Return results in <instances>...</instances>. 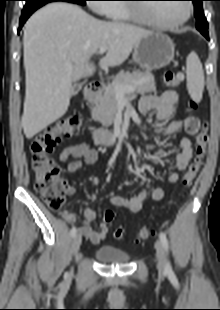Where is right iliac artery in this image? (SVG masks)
Returning <instances> with one entry per match:
<instances>
[{"label":"right iliac artery","mask_w":220,"mask_h":310,"mask_svg":"<svg viewBox=\"0 0 220 310\" xmlns=\"http://www.w3.org/2000/svg\"><path fill=\"white\" fill-rule=\"evenodd\" d=\"M76 233H77V229H76V227H73L70 231L71 236L74 237L76 235Z\"/></svg>","instance_id":"obj_1"}]
</instances>
